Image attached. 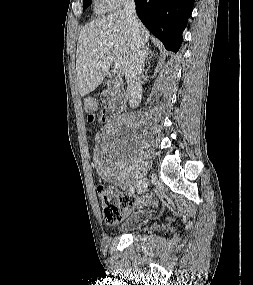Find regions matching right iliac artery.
I'll return each mask as SVG.
<instances>
[{
    "label": "right iliac artery",
    "instance_id": "1",
    "mask_svg": "<svg viewBox=\"0 0 253 285\" xmlns=\"http://www.w3.org/2000/svg\"><path fill=\"white\" fill-rule=\"evenodd\" d=\"M134 191H135L134 186H130V188H129V193H130V194H133V193H134Z\"/></svg>",
    "mask_w": 253,
    "mask_h": 285
}]
</instances>
